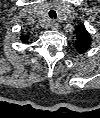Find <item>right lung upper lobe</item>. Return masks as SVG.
<instances>
[{
    "label": "right lung upper lobe",
    "instance_id": "1",
    "mask_svg": "<svg viewBox=\"0 0 100 118\" xmlns=\"http://www.w3.org/2000/svg\"><path fill=\"white\" fill-rule=\"evenodd\" d=\"M21 39H22V41H23V42H25V41H26V37H25V36H23V35L21 36Z\"/></svg>",
    "mask_w": 100,
    "mask_h": 118
}]
</instances>
